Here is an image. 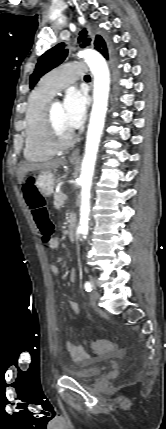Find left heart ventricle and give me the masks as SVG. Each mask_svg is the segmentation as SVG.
<instances>
[{
  "label": "left heart ventricle",
  "mask_w": 166,
  "mask_h": 429,
  "mask_svg": "<svg viewBox=\"0 0 166 429\" xmlns=\"http://www.w3.org/2000/svg\"><path fill=\"white\" fill-rule=\"evenodd\" d=\"M52 117L56 131L61 138L67 137L72 131L65 122L63 107L60 102L54 103L52 107Z\"/></svg>",
  "instance_id": "b2bd125f"
}]
</instances>
